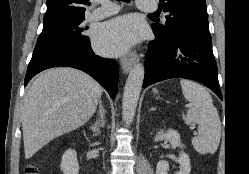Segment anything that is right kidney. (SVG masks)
<instances>
[{"label":"right kidney","instance_id":"1","mask_svg":"<svg viewBox=\"0 0 249 174\" xmlns=\"http://www.w3.org/2000/svg\"><path fill=\"white\" fill-rule=\"evenodd\" d=\"M61 171L63 174H79V165L76 151L69 149L62 156Z\"/></svg>","mask_w":249,"mask_h":174}]
</instances>
